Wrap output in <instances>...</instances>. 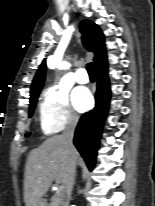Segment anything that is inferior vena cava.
<instances>
[{
  "mask_svg": "<svg viewBox=\"0 0 155 206\" xmlns=\"http://www.w3.org/2000/svg\"><path fill=\"white\" fill-rule=\"evenodd\" d=\"M76 125H77V119L74 117H69L67 124H66V127L64 129L63 135H62L66 150H67L68 154L70 155L69 178H68V181L65 185L66 194H67V201L63 204V206H68V200L70 198L72 188L74 185V181H75L76 163H75L74 159L72 158V154H73L75 148L73 146L72 141H73V136H74V131H75Z\"/></svg>",
  "mask_w": 155,
  "mask_h": 206,
  "instance_id": "inferior-vena-cava-1",
  "label": "inferior vena cava"
}]
</instances>
